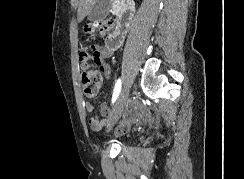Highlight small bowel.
<instances>
[{
  "label": "small bowel",
  "mask_w": 244,
  "mask_h": 179,
  "mask_svg": "<svg viewBox=\"0 0 244 179\" xmlns=\"http://www.w3.org/2000/svg\"><path fill=\"white\" fill-rule=\"evenodd\" d=\"M123 41V40H122ZM122 41L114 45H110L108 43H94L90 46V50L95 54L99 61H101V72L104 80L109 81L112 78V68L109 63L105 62V60L111 58L117 48H119L122 44ZM85 108L88 112H94V106L91 103H87ZM113 115V111H111L105 104L102 105L101 108V116L93 117L90 119L89 125L93 130H100L104 125L110 122L109 117ZM137 115V112L132 109L125 110V121L129 122L134 119Z\"/></svg>",
  "instance_id": "1"
}]
</instances>
